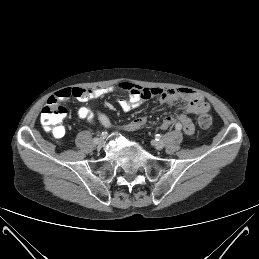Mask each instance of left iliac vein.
<instances>
[{
    "instance_id": "1",
    "label": "left iliac vein",
    "mask_w": 259,
    "mask_h": 259,
    "mask_svg": "<svg viewBox=\"0 0 259 259\" xmlns=\"http://www.w3.org/2000/svg\"><path fill=\"white\" fill-rule=\"evenodd\" d=\"M154 147L157 149V150H161L163 149L164 147V142L163 141H157L154 143Z\"/></svg>"
}]
</instances>
